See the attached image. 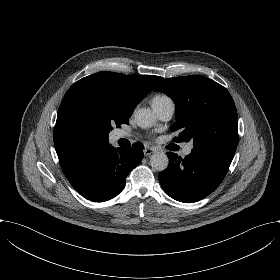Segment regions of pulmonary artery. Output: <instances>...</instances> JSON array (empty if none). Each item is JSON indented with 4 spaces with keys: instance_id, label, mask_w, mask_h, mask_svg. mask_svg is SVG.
<instances>
[{
    "instance_id": "obj_1",
    "label": "pulmonary artery",
    "mask_w": 280,
    "mask_h": 280,
    "mask_svg": "<svg viewBox=\"0 0 280 280\" xmlns=\"http://www.w3.org/2000/svg\"><path fill=\"white\" fill-rule=\"evenodd\" d=\"M152 107L155 110L158 117L163 121H168L173 117L175 112V104L170 98H165L160 101H153ZM129 134L125 132H120V138L128 137ZM192 151V145L187 144L182 149V156H188Z\"/></svg>"
}]
</instances>
